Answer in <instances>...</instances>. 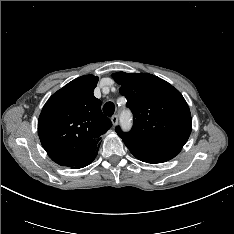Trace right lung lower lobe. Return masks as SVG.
<instances>
[{"label": "right lung lower lobe", "mask_w": 234, "mask_h": 234, "mask_svg": "<svg viewBox=\"0 0 234 234\" xmlns=\"http://www.w3.org/2000/svg\"><path fill=\"white\" fill-rule=\"evenodd\" d=\"M92 161H93V160H92ZM92 161H91V162H92ZM91 162H89L88 164H90ZM88 164H87V165H88ZM87 165H85V166H87Z\"/></svg>", "instance_id": "1"}]
</instances>
